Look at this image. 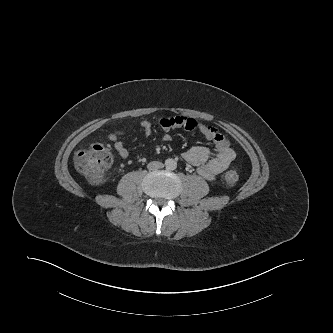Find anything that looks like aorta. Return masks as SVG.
<instances>
[{
	"label": "aorta",
	"instance_id": "aorta-1",
	"mask_svg": "<svg viewBox=\"0 0 333 333\" xmlns=\"http://www.w3.org/2000/svg\"><path fill=\"white\" fill-rule=\"evenodd\" d=\"M165 166H166V169H168V170H174L177 167V163L174 159H167L165 161Z\"/></svg>",
	"mask_w": 333,
	"mask_h": 333
}]
</instances>
